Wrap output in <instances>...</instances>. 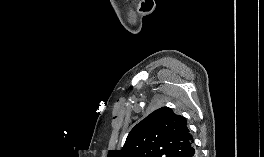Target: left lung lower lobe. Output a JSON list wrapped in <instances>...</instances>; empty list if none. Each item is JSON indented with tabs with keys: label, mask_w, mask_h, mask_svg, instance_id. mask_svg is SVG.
<instances>
[{
	"label": "left lung lower lobe",
	"mask_w": 264,
	"mask_h": 157,
	"mask_svg": "<svg viewBox=\"0 0 264 157\" xmlns=\"http://www.w3.org/2000/svg\"><path fill=\"white\" fill-rule=\"evenodd\" d=\"M187 157H197V153H196V150L194 148V145H192V147L190 148V151H189Z\"/></svg>",
	"instance_id": "left-lung-lower-lobe-1"
}]
</instances>
